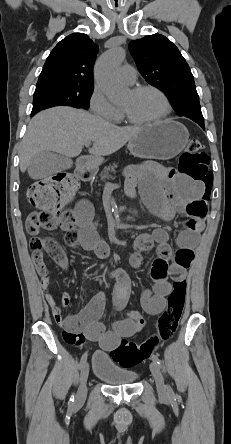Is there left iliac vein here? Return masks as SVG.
I'll list each match as a JSON object with an SVG mask.
<instances>
[{
  "label": "left iliac vein",
  "mask_w": 231,
  "mask_h": 444,
  "mask_svg": "<svg viewBox=\"0 0 231 444\" xmlns=\"http://www.w3.org/2000/svg\"><path fill=\"white\" fill-rule=\"evenodd\" d=\"M150 370L154 377L156 388L161 397H165L167 395L166 385L164 383L163 376L161 374L159 366L156 364V362L152 361L150 363Z\"/></svg>",
  "instance_id": "left-iliac-vein-1"
}]
</instances>
